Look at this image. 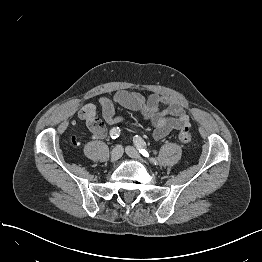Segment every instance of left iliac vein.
I'll use <instances>...</instances> for the list:
<instances>
[{
	"label": "left iliac vein",
	"instance_id": "obj_1",
	"mask_svg": "<svg viewBox=\"0 0 262 262\" xmlns=\"http://www.w3.org/2000/svg\"><path fill=\"white\" fill-rule=\"evenodd\" d=\"M125 151L127 153V155L131 158L136 159L137 161L141 162V163H146L145 159H143L140 154L138 153V151L132 147V146H127L125 148Z\"/></svg>",
	"mask_w": 262,
	"mask_h": 262
}]
</instances>
